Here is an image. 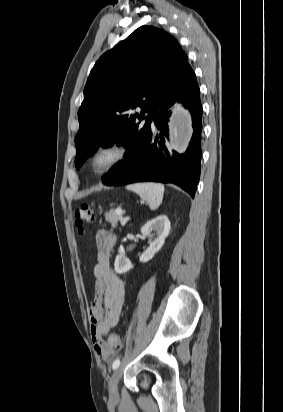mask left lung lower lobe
Instances as JSON below:
<instances>
[{
  "mask_svg": "<svg viewBox=\"0 0 283 412\" xmlns=\"http://www.w3.org/2000/svg\"><path fill=\"white\" fill-rule=\"evenodd\" d=\"M179 101L191 111L193 136L185 154L170 156L163 137H168V109ZM202 106L196 76L192 70L176 87L167 102L159 106L153 124L130 136L125 159L114 165L102 182L119 186L134 182L154 181L173 183L194 197L200 178ZM154 125L159 133L155 131Z\"/></svg>",
  "mask_w": 283,
  "mask_h": 412,
  "instance_id": "obj_1",
  "label": "left lung lower lobe"
}]
</instances>
